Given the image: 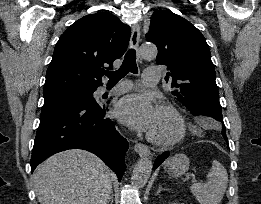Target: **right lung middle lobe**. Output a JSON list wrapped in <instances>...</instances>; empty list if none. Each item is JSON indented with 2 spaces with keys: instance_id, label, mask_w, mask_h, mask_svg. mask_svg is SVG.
Segmentation results:
<instances>
[{
  "instance_id": "right-lung-middle-lobe-1",
  "label": "right lung middle lobe",
  "mask_w": 261,
  "mask_h": 204,
  "mask_svg": "<svg viewBox=\"0 0 261 204\" xmlns=\"http://www.w3.org/2000/svg\"><path fill=\"white\" fill-rule=\"evenodd\" d=\"M80 98L92 99L93 91H70L46 94L44 95V104Z\"/></svg>"
}]
</instances>
